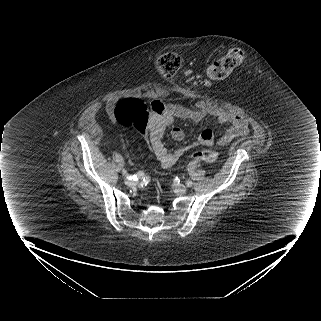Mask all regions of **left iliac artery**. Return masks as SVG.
Listing matches in <instances>:
<instances>
[{
  "mask_svg": "<svg viewBox=\"0 0 321 321\" xmlns=\"http://www.w3.org/2000/svg\"><path fill=\"white\" fill-rule=\"evenodd\" d=\"M186 185H187L188 187H191V186L193 185V183H192L191 180H187V181H186Z\"/></svg>",
  "mask_w": 321,
  "mask_h": 321,
  "instance_id": "obj_1",
  "label": "left iliac artery"
}]
</instances>
